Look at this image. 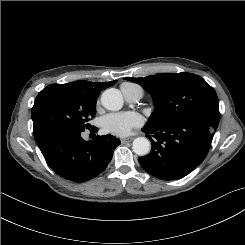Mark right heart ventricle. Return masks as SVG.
Segmentation results:
<instances>
[{
	"instance_id": "e07e8e85",
	"label": "right heart ventricle",
	"mask_w": 245,
	"mask_h": 245,
	"mask_svg": "<svg viewBox=\"0 0 245 245\" xmlns=\"http://www.w3.org/2000/svg\"><path fill=\"white\" fill-rule=\"evenodd\" d=\"M135 87H138V86L133 84V83H130V82H125V83L121 84V91H122V93H125L126 91H128L132 88H135Z\"/></svg>"
}]
</instances>
